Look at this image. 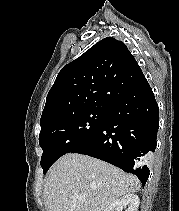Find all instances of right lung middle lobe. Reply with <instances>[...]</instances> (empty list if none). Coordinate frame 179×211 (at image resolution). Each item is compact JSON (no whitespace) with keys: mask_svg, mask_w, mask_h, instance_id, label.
I'll return each instance as SVG.
<instances>
[{"mask_svg":"<svg viewBox=\"0 0 179 211\" xmlns=\"http://www.w3.org/2000/svg\"><path fill=\"white\" fill-rule=\"evenodd\" d=\"M108 108H92L53 120L41 128L39 144L43 149L44 174L62 155L90 140L106 118Z\"/></svg>","mask_w":179,"mask_h":211,"instance_id":"obj_1","label":"right lung middle lobe"}]
</instances>
